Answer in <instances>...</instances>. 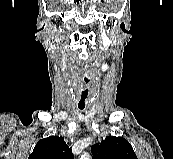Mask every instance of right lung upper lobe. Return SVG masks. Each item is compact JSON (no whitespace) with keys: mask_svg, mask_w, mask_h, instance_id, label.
<instances>
[{"mask_svg":"<svg viewBox=\"0 0 173 159\" xmlns=\"http://www.w3.org/2000/svg\"><path fill=\"white\" fill-rule=\"evenodd\" d=\"M71 148L63 137L50 136L40 140L29 159H73Z\"/></svg>","mask_w":173,"mask_h":159,"instance_id":"1","label":"right lung upper lobe"}]
</instances>
